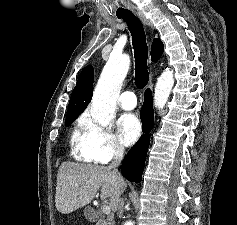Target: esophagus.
Here are the masks:
<instances>
[{"mask_svg":"<svg viewBox=\"0 0 237 225\" xmlns=\"http://www.w3.org/2000/svg\"><path fill=\"white\" fill-rule=\"evenodd\" d=\"M132 11H133V13L143 22V24H145L146 26H148V27L151 29V31L153 32V26H152L151 21H150L148 18H146V16H145L140 10H138V9H133ZM148 86H149V87L152 86V81H151V80H150Z\"/></svg>","mask_w":237,"mask_h":225,"instance_id":"esophagus-1","label":"esophagus"}]
</instances>
